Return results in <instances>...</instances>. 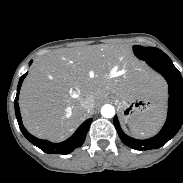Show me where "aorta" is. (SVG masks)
I'll use <instances>...</instances> for the list:
<instances>
[{
  "label": "aorta",
  "instance_id": "aorta-1",
  "mask_svg": "<svg viewBox=\"0 0 183 183\" xmlns=\"http://www.w3.org/2000/svg\"><path fill=\"white\" fill-rule=\"evenodd\" d=\"M101 115L105 118H112L115 115V108L110 104H105L101 108Z\"/></svg>",
  "mask_w": 183,
  "mask_h": 183
}]
</instances>
